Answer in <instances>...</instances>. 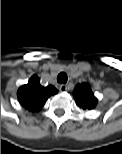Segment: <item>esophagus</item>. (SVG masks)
<instances>
[{
	"instance_id": "1",
	"label": "esophagus",
	"mask_w": 122,
	"mask_h": 154,
	"mask_svg": "<svg viewBox=\"0 0 122 154\" xmlns=\"http://www.w3.org/2000/svg\"><path fill=\"white\" fill-rule=\"evenodd\" d=\"M59 90L61 92H66L68 90V86L65 84L60 85Z\"/></svg>"
}]
</instances>
